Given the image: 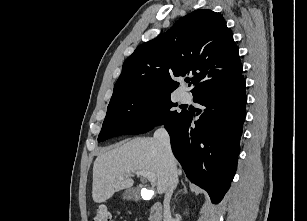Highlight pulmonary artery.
<instances>
[{"label":"pulmonary artery","mask_w":307,"mask_h":221,"mask_svg":"<svg viewBox=\"0 0 307 221\" xmlns=\"http://www.w3.org/2000/svg\"><path fill=\"white\" fill-rule=\"evenodd\" d=\"M179 97L182 102H188L190 99V95L187 92H181Z\"/></svg>","instance_id":"e3ab8cb5"}]
</instances>
